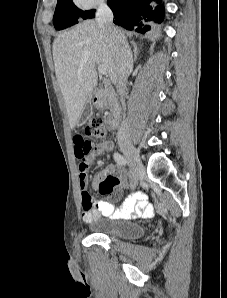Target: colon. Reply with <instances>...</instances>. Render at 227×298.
<instances>
[{
	"instance_id": "5ec220e1",
	"label": "colon",
	"mask_w": 227,
	"mask_h": 298,
	"mask_svg": "<svg viewBox=\"0 0 227 298\" xmlns=\"http://www.w3.org/2000/svg\"><path fill=\"white\" fill-rule=\"evenodd\" d=\"M84 133L87 135L84 142H91L88 138L94 139H105L107 137V129L104 122L101 119L93 118L91 119L85 127ZM84 159V158H79ZM127 183L115 176L109 175L104 177L99 182V191L102 194H110L118 186H126Z\"/></svg>"
}]
</instances>
